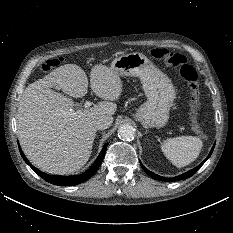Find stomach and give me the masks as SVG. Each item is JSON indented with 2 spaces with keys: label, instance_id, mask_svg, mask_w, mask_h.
Instances as JSON below:
<instances>
[{
  "label": "stomach",
  "instance_id": "obj_1",
  "mask_svg": "<svg viewBox=\"0 0 233 233\" xmlns=\"http://www.w3.org/2000/svg\"><path fill=\"white\" fill-rule=\"evenodd\" d=\"M110 68L119 76L140 78L147 101L138 108L135 117L143 127L165 126L176 96L170 78L139 52L119 55Z\"/></svg>",
  "mask_w": 233,
  "mask_h": 233
}]
</instances>
